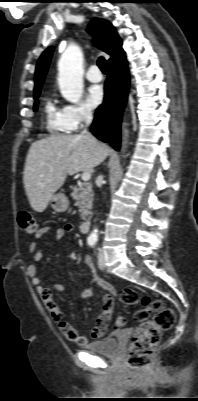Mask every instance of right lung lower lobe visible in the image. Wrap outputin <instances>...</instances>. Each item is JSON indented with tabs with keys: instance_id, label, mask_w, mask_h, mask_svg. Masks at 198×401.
<instances>
[{
	"instance_id": "98d812e1",
	"label": "right lung lower lobe",
	"mask_w": 198,
	"mask_h": 401,
	"mask_svg": "<svg viewBox=\"0 0 198 401\" xmlns=\"http://www.w3.org/2000/svg\"><path fill=\"white\" fill-rule=\"evenodd\" d=\"M108 63L104 102L96 110L91 132L99 140L109 142L119 150L120 124L128 95L129 74L124 52Z\"/></svg>"
}]
</instances>
